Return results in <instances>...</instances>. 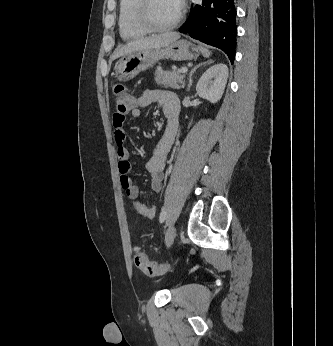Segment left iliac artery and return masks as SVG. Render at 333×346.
Returning <instances> with one entry per match:
<instances>
[{
  "label": "left iliac artery",
  "instance_id": "left-iliac-artery-1",
  "mask_svg": "<svg viewBox=\"0 0 333 346\" xmlns=\"http://www.w3.org/2000/svg\"><path fill=\"white\" fill-rule=\"evenodd\" d=\"M165 218H166V210H165V209H163V210L161 211V213H160V217H159V221H160V223H163V222H164V220H165Z\"/></svg>",
  "mask_w": 333,
  "mask_h": 346
}]
</instances>
